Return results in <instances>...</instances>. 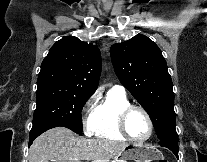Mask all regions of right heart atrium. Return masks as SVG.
I'll use <instances>...</instances> for the list:
<instances>
[{
    "instance_id": "1",
    "label": "right heart atrium",
    "mask_w": 207,
    "mask_h": 162,
    "mask_svg": "<svg viewBox=\"0 0 207 162\" xmlns=\"http://www.w3.org/2000/svg\"><path fill=\"white\" fill-rule=\"evenodd\" d=\"M95 103H96V95L93 94L90 96L84 106H83V112L85 113V116L83 117V126L84 131L86 134H91L93 132V113L95 110Z\"/></svg>"
}]
</instances>
